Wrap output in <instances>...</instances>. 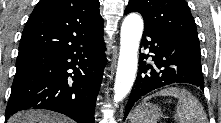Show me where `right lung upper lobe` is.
I'll list each match as a JSON object with an SVG mask.
<instances>
[{
  "label": "right lung upper lobe",
  "mask_w": 221,
  "mask_h": 123,
  "mask_svg": "<svg viewBox=\"0 0 221 123\" xmlns=\"http://www.w3.org/2000/svg\"><path fill=\"white\" fill-rule=\"evenodd\" d=\"M99 0H40L22 33L19 56L57 51L103 34Z\"/></svg>",
  "instance_id": "right-lung-upper-lobe-1"
}]
</instances>
